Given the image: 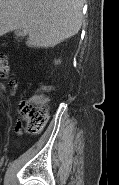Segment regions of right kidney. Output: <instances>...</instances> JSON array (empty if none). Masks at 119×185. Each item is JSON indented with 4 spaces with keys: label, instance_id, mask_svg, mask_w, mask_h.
<instances>
[{
    "label": "right kidney",
    "instance_id": "ca27d5eb",
    "mask_svg": "<svg viewBox=\"0 0 119 185\" xmlns=\"http://www.w3.org/2000/svg\"><path fill=\"white\" fill-rule=\"evenodd\" d=\"M56 63H60V60L59 61H56Z\"/></svg>",
    "mask_w": 119,
    "mask_h": 185
}]
</instances>
